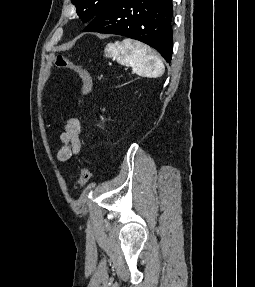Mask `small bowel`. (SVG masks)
<instances>
[{
    "label": "small bowel",
    "mask_w": 255,
    "mask_h": 287,
    "mask_svg": "<svg viewBox=\"0 0 255 287\" xmlns=\"http://www.w3.org/2000/svg\"><path fill=\"white\" fill-rule=\"evenodd\" d=\"M59 139L61 146L56 158L59 162H66L74 155H77L81 149L79 121L75 118L68 119Z\"/></svg>",
    "instance_id": "c3829d8e"
}]
</instances>
